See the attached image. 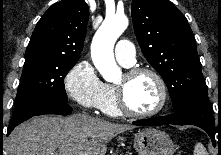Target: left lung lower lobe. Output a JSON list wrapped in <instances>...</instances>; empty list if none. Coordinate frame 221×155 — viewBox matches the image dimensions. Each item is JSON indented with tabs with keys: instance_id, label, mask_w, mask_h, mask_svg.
I'll return each mask as SVG.
<instances>
[{
	"instance_id": "0a47b994",
	"label": "left lung lower lobe",
	"mask_w": 221,
	"mask_h": 155,
	"mask_svg": "<svg viewBox=\"0 0 221 155\" xmlns=\"http://www.w3.org/2000/svg\"><path fill=\"white\" fill-rule=\"evenodd\" d=\"M133 124L139 126L195 125L205 130L211 137L212 143L215 144V124L210 112L208 96L197 97L188 101L173 114L138 120L134 121Z\"/></svg>"
}]
</instances>
